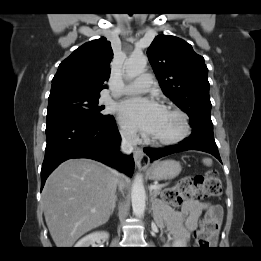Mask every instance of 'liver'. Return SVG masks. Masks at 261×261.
Masks as SVG:
<instances>
[{
	"label": "liver",
	"instance_id": "6515ba94",
	"mask_svg": "<svg viewBox=\"0 0 261 261\" xmlns=\"http://www.w3.org/2000/svg\"><path fill=\"white\" fill-rule=\"evenodd\" d=\"M90 159H70L47 179L42 194L44 216L58 248H70L110 217L117 184L127 179Z\"/></svg>",
	"mask_w": 261,
	"mask_h": 261
}]
</instances>
